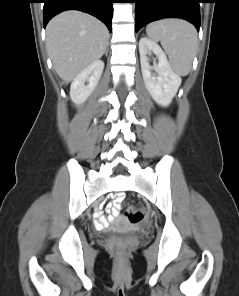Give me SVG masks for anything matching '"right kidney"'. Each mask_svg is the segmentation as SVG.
<instances>
[{"mask_svg": "<svg viewBox=\"0 0 239 296\" xmlns=\"http://www.w3.org/2000/svg\"><path fill=\"white\" fill-rule=\"evenodd\" d=\"M104 69V62L96 60L84 68L72 81L70 98L72 102L82 105L96 88Z\"/></svg>", "mask_w": 239, "mask_h": 296, "instance_id": "obj_1", "label": "right kidney"}]
</instances>
